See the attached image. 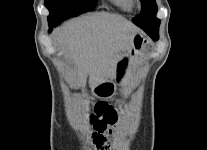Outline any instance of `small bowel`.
Returning <instances> with one entry per match:
<instances>
[{"label":"small bowel","mask_w":207,"mask_h":150,"mask_svg":"<svg viewBox=\"0 0 207 150\" xmlns=\"http://www.w3.org/2000/svg\"><path fill=\"white\" fill-rule=\"evenodd\" d=\"M94 142H95L96 146H97V144H99V145L101 144L98 142L97 138H94Z\"/></svg>","instance_id":"obj_1"}]
</instances>
